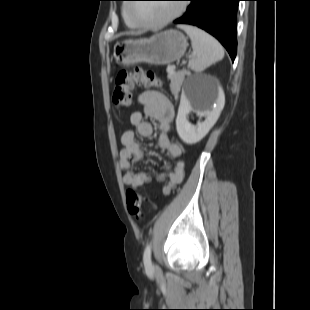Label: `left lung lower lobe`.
Returning <instances> with one entry per match:
<instances>
[{
    "instance_id": "left-lung-lower-lobe-1",
    "label": "left lung lower lobe",
    "mask_w": 310,
    "mask_h": 310,
    "mask_svg": "<svg viewBox=\"0 0 310 310\" xmlns=\"http://www.w3.org/2000/svg\"><path fill=\"white\" fill-rule=\"evenodd\" d=\"M186 13L175 24L197 26L217 38L228 51L232 61L237 52L236 16L241 0H187Z\"/></svg>"
}]
</instances>
